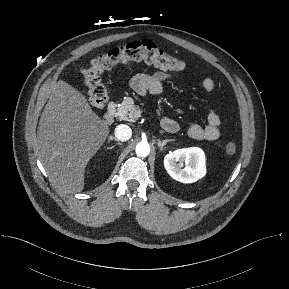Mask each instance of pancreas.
Returning <instances> with one entry per match:
<instances>
[{
    "mask_svg": "<svg viewBox=\"0 0 289 289\" xmlns=\"http://www.w3.org/2000/svg\"><path fill=\"white\" fill-rule=\"evenodd\" d=\"M115 115L120 120L134 122L140 116V112L137 106L134 104L133 99L130 97H127L117 107V111Z\"/></svg>",
    "mask_w": 289,
    "mask_h": 289,
    "instance_id": "1",
    "label": "pancreas"
}]
</instances>
